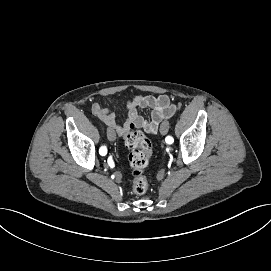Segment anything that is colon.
<instances>
[{"label": "colon", "mask_w": 271, "mask_h": 271, "mask_svg": "<svg viewBox=\"0 0 271 271\" xmlns=\"http://www.w3.org/2000/svg\"><path fill=\"white\" fill-rule=\"evenodd\" d=\"M124 143L131 150L129 164L132 169L133 192L142 195L148 190V180L144 174V169L153 153L152 144L140 131H128L124 135Z\"/></svg>", "instance_id": "1"}]
</instances>
